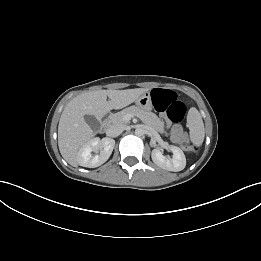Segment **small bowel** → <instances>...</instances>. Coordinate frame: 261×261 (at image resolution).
<instances>
[{
  "instance_id": "c3829d8e",
  "label": "small bowel",
  "mask_w": 261,
  "mask_h": 261,
  "mask_svg": "<svg viewBox=\"0 0 261 261\" xmlns=\"http://www.w3.org/2000/svg\"><path fill=\"white\" fill-rule=\"evenodd\" d=\"M168 127L170 129V133H171V138L173 139V141L175 142H181L183 140H185L186 136L183 132V130L181 129V127L177 126V125H169Z\"/></svg>"
}]
</instances>
